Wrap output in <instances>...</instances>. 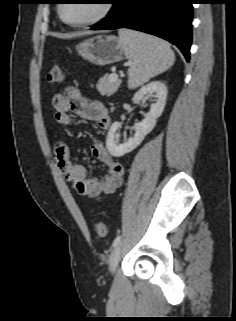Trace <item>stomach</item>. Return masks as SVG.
I'll return each instance as SVG.
<instances>
[{"label": "stomach", "mask_w": 236, "mask_h": 321, "mask_svg": "<svg viewBox=\"0 0 236 321\" xmlns=\"http://www.w3.org/2000/svg\"><path fill=\"white\" fill-rule=\"evenodd\" d=\"M76 50L84 59L99 66L119 62L125 54L116 36L103 34L82 41Z\"/></svg>", "instance_id": "stomach-1"}]
</instances>
